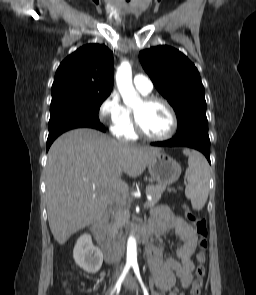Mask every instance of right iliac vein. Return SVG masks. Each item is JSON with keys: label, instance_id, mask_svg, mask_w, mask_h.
<instances>
[{"label": "right iliac vein", "instance_id": "1", "mask_svg": "<svg viewBox=\"0 0 256 295\" xmlns=\"http://www.w3.org/2000/svg\"><path fill=\"white\" fill-rule=\"evenodd\" d=\"M117 278H118V276L116 275V276L114 277V280L116 281ZM112 289H113V286L111 287V290H112Z\"/></svg>", "mask_w": 256, "mask_h": 295}]
</instances>
